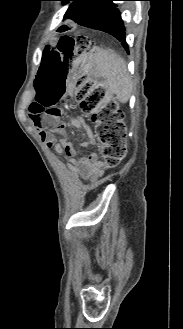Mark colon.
<instances>
[{"label": "colon", "mask_w": 183, "mask_h": 329, "mask_svg": "<svg viewBox=\"0 0 183 329\" xmlns=\"http://www.w3.org/2000/svg\"><path fill=\"white\" fill-rule=\"evenodd\" d=\"M76 32V25H59L57 40L46 48L44 55H38V73L33 87L37 88L34 102L30 106V114L37 115L51 124L42 127L45 132H56L57 127L52 124L68 97L72 94L80 104L81 110L91 115L95 124V135L101 147L102 164L104 168H111L119 164L127 155L126 124L121 110L114 102L102 106L106 96L105 89L92 88L86 76L80 77L70 91L72 76L71 68L75 67L74 59L83 53L89 44H96V37L70 36ZM105 61H111V56H105ZM66 81V82H65Z\"/></svg>", "instance_id": "colon-1"}]
</instances>
